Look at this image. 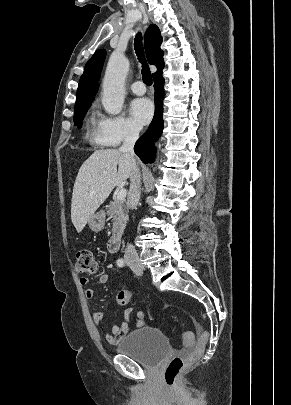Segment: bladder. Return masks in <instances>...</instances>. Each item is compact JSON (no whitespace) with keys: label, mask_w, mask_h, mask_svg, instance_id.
Returning <instances> with one entry per match:
<instances>
[{"label":"bladder","mask_w":291,"mask_h":405,"mask_svg":"<svg viewBox=\"0 0 291 405\" xmlns=\"http://www.w3.org/2000/svg\"><path fill=\"white\" fill-rule=\"evenodd\" d=\"M116 350L141 366L153 369L168 355L170 345L167 336L161 330L144 326L123 337Z\"/></svg>","instance_id":"bladder-1"}]
</instances>
